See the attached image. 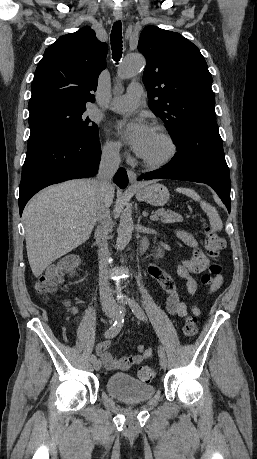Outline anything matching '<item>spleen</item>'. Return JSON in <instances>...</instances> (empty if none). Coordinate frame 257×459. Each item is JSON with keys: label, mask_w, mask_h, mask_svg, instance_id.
<instances>
[{"label": "spleen", "mask_w": 257, "mask_h": 459, "mask_svg": "<svg viewBox=\"0 0 257 459\" xmlns=\"http://www.w3.org/2000/svg\"><path fill=\"white\" fill-rule=\"evenodd\" d=\"M178 192L185 194L186 196L194 199L195 201L200 202L202 210L207 214L210 222V226L215 231H221L223 228L222 220L216 210L211 204L207 203L205 200H202L198 193L190 188H178Z\"/></svg>", "instance_id": "obj_1"}]
</instances>
